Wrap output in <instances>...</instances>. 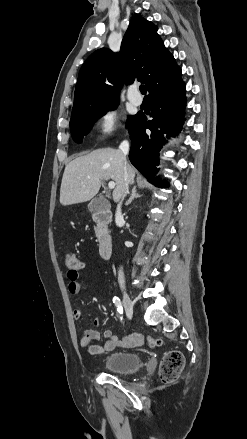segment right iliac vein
Returning a JSON list of instances; mask_svg holds the SVG:
<instances>
[{
    "mask_svg": "<svg viewBox=\"0 0 247 439\" xmlns=\"http://www.w3.org/2000/svg\"><path fill=\"white\" fill-rule=\"evenodd\" d=\"M123 293V305L126 311V314L129 318H132L133 316V302L126 292V290H122Z\"/></svg>",
    "mask_w": 247,
    "mask_h": 439,
    "instance_id": "63e3f726",
    "label": "right iliac vein"
}]
</instances>
